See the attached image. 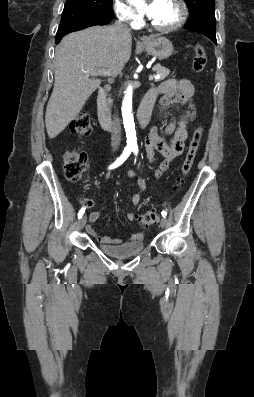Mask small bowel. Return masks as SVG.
Instances as JSON below:
<instances>
[{
	"label": "small bowel",
	"instance_id": "obj_1",
	"mask_svg": "<svg viewBox=\"0 0 254 397\" xmlns=\"http://www.w3.org/2000/svg\"><path fill=\"white\" fill-rule=\"evenodd\" d=\"M156 101L159 95H162L160 101L161 111L167 107L177 104L187 106L186 112L176 121L169 122L165 126V133L171 136L168 142L158 131L156 126H153L145 139V149L149 164L154 160L155 153L158 152L162 155L163 161L156 169L155 175L159 178L170 166L171 163L179 157L184 150L185 140L188 136V127L195 118L196 110L194 105V86L187 79L170 78L162 82L159 86L152 88L148 92ZM129 178L138 177V190L132 196V203L135 206L140 204L141 194L145 190V182L139 177L135 171H129ZM88 206H92V202L88 201ZM125 216L128 220H134L135 214L130 211H125ZM100 213L92 211L89 215V221L95 223L99 220ZM86 231L99 243L102 244H117L120 242L118 238L102 236L91 225L86 226ZM144 237L143 232L133 233L130 241H141Z\"/></svg>",
	"mask_w": 254,
	"mask_h": 397
}]
</instances>
